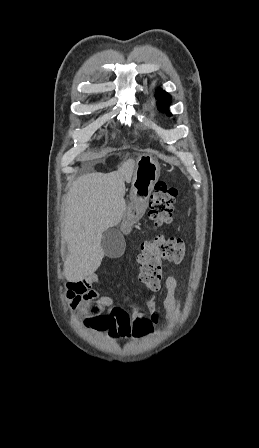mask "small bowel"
Returning <instances> with one entry per match:
<instances>
[{"label": "small bowel", "instance_id": "obj_1", "mask_svg": "<svg viewBox=\"0 0 259 448\" xmlns=\"http://www.w3.org/2000/svg\"><path fill=\"white\" fill-rule=\"evenodd\" d=\"M102 283L96 274L70 283L67 299L70 306L83 317L86 326L106 332L110 338H141L150 334L159 321L155 298H150L145 309L134 308L126 311L114 300L101 295L92 285ZM167 296L163 301L167 325H174L181 314V301L176 295L177 281L166 278Z\"/></svg>", "mask_w": 259, "mask_h": 448}]
</instances>
